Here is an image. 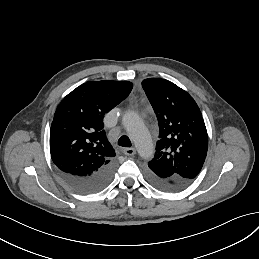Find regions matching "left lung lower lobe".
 Here are the masks:
<instances>
[{"label":"left lung lower lobe","mask_w":259,"mask_h":259,"mask_svg":"<svg viewBox=\"0 0 259 259\" xmlns=\"http://www.w3.org/2000/svg\"><path fill=\"white\" fill-rule=\"evenodd\" d=\"M146 176L151 185H153L155 188L159 190L166 191V192L181 191L191 183V181H184L179 179H170V180L160 179L150 174L148 171L146 172Z\"/></svg>","instance_id":"0a47b994"}]
</instances>
